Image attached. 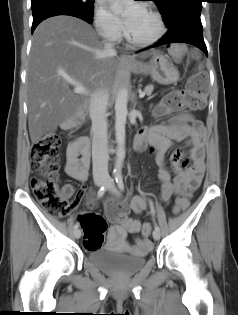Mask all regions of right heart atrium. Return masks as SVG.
Returning <instances> with one entry per match:
<instances>
[{
  "label": "right heart atrium",
  "instance_id": "d8ad5b80",
  "mask_svg": "<svg viewBox=\"0 0 238 315\" xmlns=\"http://www.w3.org/2000/svg\"><path fill=\"white\" fill-rule=\"evenodd\" d=\"M94 24L97 32L106 40L115 41L122 35L120 22L101 4L95 9Z\"/></svg>",
  "mask_w": 238,
  "mask_h": 315
}]
</instances>
